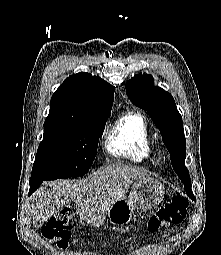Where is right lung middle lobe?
Wrapping results in <instances>:
<instances>
[{"label":"right lung middle lobe","instance_id":"obj_1","mask_svg":"<svg viewBox=\"0 0 221 255\" xmlns=\"http://www.w3.org/2000/svg\"><path fill=\"white\" fill-rule=\"evenodd\" d=\"M110 112L96 115L88 124L46 120L31 180H55L86 174L97 154L99 137Z\"/></svg>","mask_w":221,"mask_h":255}]
</instances>
